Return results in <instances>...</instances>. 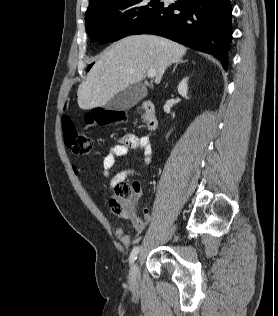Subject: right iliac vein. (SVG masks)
<instances>
[{
	"label": "right iliac vein",
	"mask_w": 278,
	"mask_h": 316,
	"mask_svg": "<svg viewBox=\"0 0 278 316\" xmlns=\"http://www.w3.org/2000/svg\"><path fill=\"white\" fill-rule=\"evenodd\" d=\"M129 282L132 286H137L139 283V264L138 261L134 262L130 268Z\"/></svg>",
	"instance_id": "1"
}]
</instances>
